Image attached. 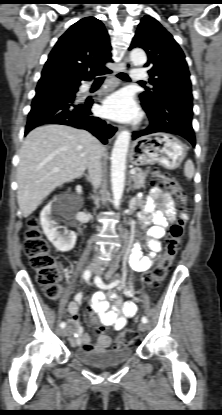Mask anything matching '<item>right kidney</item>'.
Wrapping results in <instances>:
<instances>
[{"label": "right kidney", "instance_id": "obj_1", "mask_svg": "<svg viewBox=\"0 0 222 415\" xmlns=\"http://www.w3.org/2000/svg\"><path fill=\"white\" fill-rule=\"evenodd\" d=\"M59 205L48 204L43 208L40 214V223L44 234L48 240L61 252L70 251L76 243V233L65 230L59 231L57 222L54 220L53 214L58 211Z\"/></svg>", "mask_w": 222, "mask_h": 415}]
</instances>
